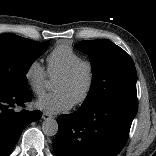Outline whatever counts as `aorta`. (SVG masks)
Returning <instances> with one entry per match:
<instances>
[{"instance_id":"1","label":"aorta","mask_w":156,"mask_h":156,"mask_svg":"<svg viewBox=\"0 0 156 156\" xmlns=\"http://www.w3.org/2000/svg\"><path fill=\"white\" fill-rule=\"evenodd\" d=\"M42 131L46 136H54L58 131V122L53 118H47L42 123Z\"/></svg>"}]
</instances>
